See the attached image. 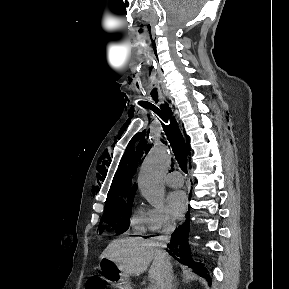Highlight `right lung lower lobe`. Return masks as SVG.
<instances>
[{
  "mask_svg": "<svg viewBox=\"0 0 289 289\" xmlns=\"http://www.w3.org/2000/svg\"><path fill=\"white\" fill-rule=\"evenodd\" d=\"M189 213V212H188ZM189 217V216H188ZM190 231L189 219L177 228L172 234V240L168 247L170 248V255L175 257L180 263L188 265L196 269L200 274H202L210 282L211 279L209 275L206 274L207 271L200 264H194L192 262V257L190 256V247L188 245V235Z\"/></svg>",
  "mask_w": 289,
  "mask_h": 289,
  "instance_id": "98d812e1",
  "label": "right lung lower lobe"
}]
</instances>
